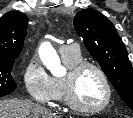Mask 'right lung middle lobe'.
I'll return each mask as SVG.
<instances>
[{
  "label": "right lung middle lobe",
  "mask_w": 133,
  "mask_h": 118,
  "mask_svg": "<svg viewBox=\"0 0 133 118\" xmlns=\"http://www.w3.org/2000/svg\"><path fill=\"white\" fill-rule=\"evenodd\" d=\"M14 64V59L0 58V97L7 95L16 89L11 71Z\"/></svg>",
  "instance_id": "dd1d6c3e"
}]
</instances>
